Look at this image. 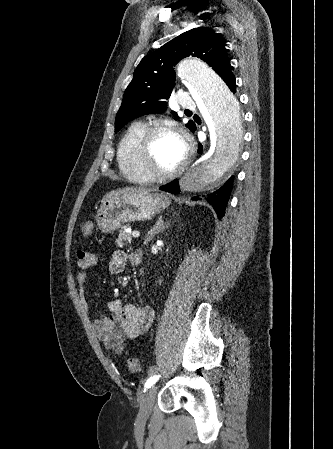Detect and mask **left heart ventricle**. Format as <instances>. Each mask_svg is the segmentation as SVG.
<instances>
[{"mask_svg":"<svg viewBox=\"0 0 333 449\" xmlns=\"http://www.w3.org/2000/svg\"><path fill=\"white\" fill-rule=\"evenodd\" d=\"M185 156V147L181 139L170 132L156 135L152 146L151 165L159 172L175 169Z\"/></svg>","mask_w":333,"mask_h":449,"instance_id":"b2bd125f","label":"left heart ventricle"}]
</instances>
